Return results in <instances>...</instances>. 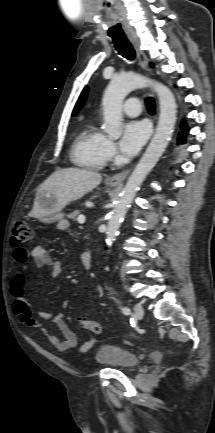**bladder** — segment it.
<instances>
[{
    "mask_svg": "<svg viewBox=\"0 0 215 433\" xmlns=\"http://www.w3.org/2000/svg\"><path fill=\"white\" fill-rule=\"evenodd\" d=\"M95 359L98 364L123 370H132L141 361L138 355L115 345H103L98 348Z\"/></svg>",
    "mask_w": 215,
    "mask_h": 433,
    "instance_id": "obj_1",
    "label": "bladder"
}]
</instances>
